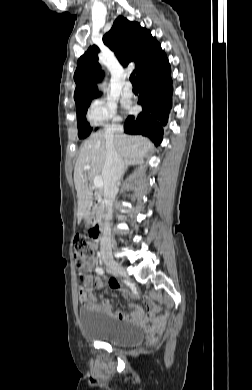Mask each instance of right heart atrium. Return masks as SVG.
Here are the masks:
<instances>
[{
    "label": "right heart atrium",
    "mask_w": 252,
    "mask_h": 390,
    "mask_svg": "<svg viewBox=\"0 0 252 390\" xmlns=\"http://www.w3.org/2000/svg\"><path fill=\"white\" fill-rule=\"evenodd\" d=\"M87 118L95 126H106L109 122L117 123L121 120L116 104L105 98H97L91 102Z\"/></svg>",
    "instance_id": "obj_1"
}]
</instances>
